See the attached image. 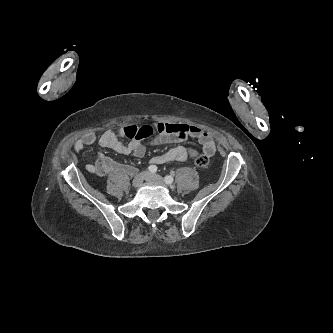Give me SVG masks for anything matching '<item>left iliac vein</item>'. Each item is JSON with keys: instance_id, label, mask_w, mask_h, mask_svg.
Masks as SVG:
<instances>
[{"instance_id": "1", "label": "left iliac vein", "mask_w": 333, "mask_h": 333, "mask_svg": "<svg viewBox=\"0 0 333 333\" xmlns=\"http://www.w3.org/2000/svg\"><path fill=\"white\" fill-rule=\"evenodd\" d=\"M147 182L164 184V180L160 175L147 173L146 179Z\"/></svg>"}]
</instances>
